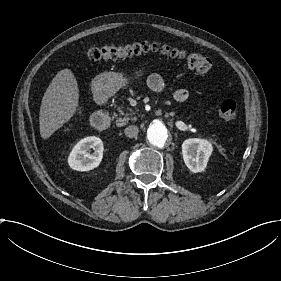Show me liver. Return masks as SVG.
<instances>
[{"label": "liver", "mask_w": 281, "mask_h": 281, "mask_svg": "<svg viewBox=\"0 0 281 281\" xmlns=\"http://www.w3.org/2000/svg\"><path fill=\"white\" fill-rule=\"evenodd\" d=\"M79 88L74 74L69 69L59 71L42 98L39 127L43 139L49 138L76 113Z\"/></svg>", "instance_id": "obj_1"}]
</instances>
